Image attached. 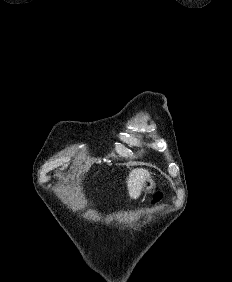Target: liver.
<instances>
[{
    "label": "liver",
    "instance_id": "1",
    "mask_svg": "<svg viewBox=\"0 0 232 282\" xmlns=\"http://www.w3.org/2000/svg\"><path fill=\"white\" fill-rule=\"evenodd\" d=\"M149 177V171L143 168L133 169L129 173L127 187L132 199H136L141 194L143 185Z\"/></svg>",
    "mask_w": 232,
    "mask_h": 282
}]
</instances>
